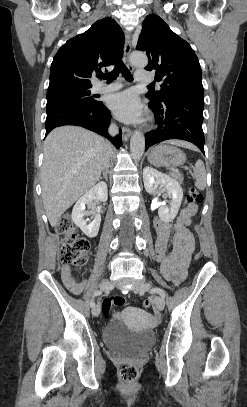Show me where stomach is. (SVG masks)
I'll list each match as a JSON object with an SVG mask.
<instances>
[{"mask_svg":"<svg viewBox=\"0 0 247 407\" xmlns=\"http://www.w3.org/2000/svg\"><path fill=\"white\" fill-rule=\"evenodd\" d=\"M148 161L157 167H179L186 162V155L173 145L159 144L149 153Z\"/></svg>","mask_w":247,"mask_h":407,"instance_id":"stomach-1","label":"stomach"}]
</instances>
